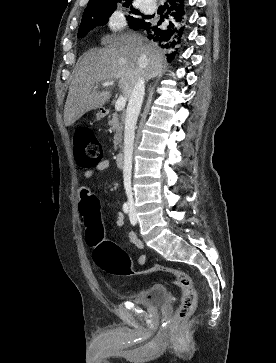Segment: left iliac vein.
Masks as SVG:
<instances>
[{"mask_svg": "<svg viewBox=\"0 0 276 363\" xmlns=\"http://www.w3.org/2000/svg\"><path fill=\"white\" fill-rule=\"evenodd\" d=\"M129 219H130L132 224H136L137 217H136L135 207L133 205H131V210H130V213H129Z\"/></svg>", "mask_w": 276, "mask_h": 363, "instance_id": "1", "label": "left iliac vein"}]
</instances>
